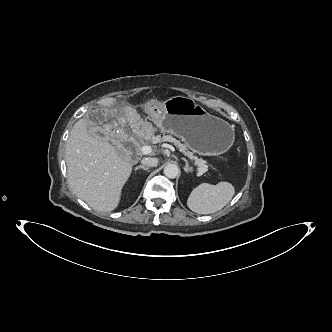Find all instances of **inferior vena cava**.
<instances>
[{"label":"inferior vena cava","mask_w":332,"mask_h":332,"mask_svg":"<svg viewBox=\"0 0 332 332\" xmlns=\"http://www.w3.org/2000/svg\"><path fill=\"white\" fill-rule=\"evenodd\" d=\"M141 163L147 167H155L158 164L157 158L145 157L141 160Z\"/></svg>","instance_id":"602c4592"}]
</instances>
